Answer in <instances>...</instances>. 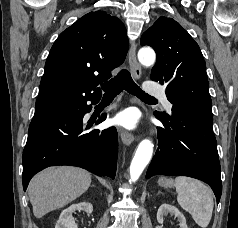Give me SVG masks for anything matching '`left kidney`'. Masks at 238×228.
Here are the masks:
<instances>
[{
    "label": "left kidney",
    "mask_w": 238,
    "mask_h": 228,
    "mask_svg": "<svg viewBox=\"0 0 238 228\" xmlns=\"http://www.w3.org/2000/svg\"><path fill=\"white\" fill-rule=\"evenodd\" d=\"M168 214L174 215L178 219L180 228H188L184 215L175 206L167 203L162 204L158 209L157 212L158 223L163 224L164 217L167 216Z\"/></svg>",
    "instance_id": "left-kidney-1"
}]
</instances>
